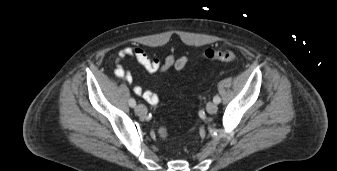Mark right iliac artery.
Returning a JSON list of instances; mask_svg holds the SVG:
<instances>
[{
  "mask_svg": "<svg viewBox=\"0 0 337 171\" xmlns=\"http://www.w3.org/2000/svg\"><path fill=\"white\" fill-rule=\"evenodd\" d=\"M129 105H130V107L134 108V107L136 106V101H135V99L131 98V99L129 100Z\"/></svg>",
  "mask_w": 337,
  "mask_h": 171,
  "instance_id": "right-iliac-artery-1",
  "label": "right iliac artery"
}]
</instances>
